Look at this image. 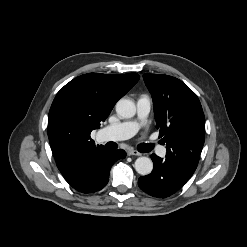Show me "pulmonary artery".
<instances>
[{"instance_id": "pulmonary-artery-1", "label": "pulmonary artery", "mask_w": 247, "mask_h": 247, "mask_svg": "<svg viewBox=\"0 0 247 247\" xmlns=\"http://www.w3.org/2000/svg\"><path fill=\"white\" fill-rule=\"evenodd\" d=\"M137 119L132 121L121 122L105 127L101 131V137L106 141H120L132 137L139 129L140 124L147 118L150 109L151 101L147 96H141L136 102ZM160 156L166 154V148L160 146L157 149Z\"/></svg>"}]
</instances>
